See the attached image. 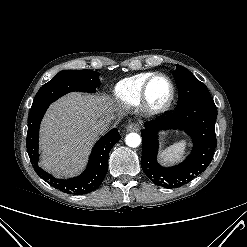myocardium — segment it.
Returning a JSON list of instances; mask_svg holds the SVG:
<instances>
[{
	"instance_id": "obj_1",
	"label": "myocardium",
	"mask_w": 247,
	"mask_h": 247,
	"mask_svg": "<svg viewBox=\"0 0 247 247\" xmlns=\"http://www.w3.org/2000/svg\"><path fill=\"white\" fill-rule=\"evenodd\" d=\"M157 78H164L169 83V86H170V95L168 99L164 103L159 104V105L154 104L150 100V97H149V88L152 82ZM175 93H176V89H175V85L172 79L164 73H155L147 79V81L145 82L142 88L141 106L147 114H150V115L163 114L166 111H168L170 107L172 106L173 101L175 99Z\"/></svg>"
}]
</instances>
